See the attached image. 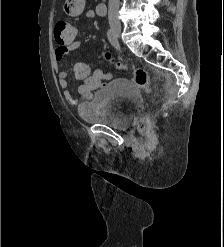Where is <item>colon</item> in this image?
I'll use <instances>...</instances> for the list:
<instances>
[{"instance_id": "obj_1", "label": "colon", "mask_w": 224, "mask_h": 247, "mask_svg": "<svg viewBox=\"0 0 224 247\" xmlns=\"http://www.w3.org/2000/svg\"><path fill=\"white\" fill-rule=\"evenodd\" d=\"M76 36H77V28L74 24L64 20H59L56 22L54 26V37L57 41H61V42L71 41L74 40ZM104 58L109 62L112 63L115 62V60L112 59L110 53H105ZM116 66L120 69L128 68L126 65L119 62L116 63ZM129 70L131 71L134 82L139 87L145 90H149L150 78L146 70L136 66H130ZM75 74L78 78L88 79L94 87L100 84V80L98 78L91 76L90 70L86 65L83 64L77 65L75 68ZM139 128L140 129L145 128L144 121L140 123Z\"/></svg>"}]
</instances>
